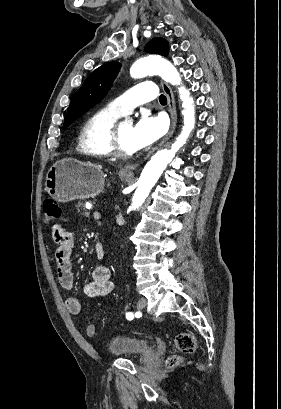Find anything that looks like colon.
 I'll return each instance as SVG.
<instances>
[{"label": "colon", "mask_w": 281, "mask_h": 409, "mask_svg": "<svg viewBox=\"0 0 281 409\" xmlns=\"http://www.w3.org/2000/svg\"><path fill=\"white\" fill-rule=\"evenodd\" d=\"M62 213L61 206L51 198H47L43 201V215L44 222L50 224L60 219ZM88 335L93 336L95 329L93 325H90L87 329ZM174 346L177 350L184 353H191L195 350L196 342L195 338L190 333H181L174 338ZM181 358L173 356L170 358L169 363L176 365L180 362Z\"/></svg>", "instance_id": "obj_1"}]
</instances>
